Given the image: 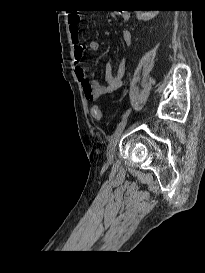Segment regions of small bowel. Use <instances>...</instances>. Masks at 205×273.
Returning a JSON list of instances; mask_svg holds the SVG:
<instances>
[{
  "label": "small bowel",
  "mask_w": 205,
  "mask_h": 273,
  "mask_svg": "<svg viewBox=\"0 0 205 273\" xmlns=\"http://www.w3.org/2000/svg\"><path fill=\"white\" fill-rule=\"evenodd\" d=\"M121 17L123 19H128L129 15L128 13L124 12L121 14ZM68 24L70 26V34L73 44V59L77 64L75 68V75L82 85L86 99L88 101H95L99 97L117 90L122 84V78L125 73V63L121 62L115 73H113L110 63L105 64V85H102L94 80L91 75L87 73L86 70L80 65V63L83 59L85 48L87 47L89 50L97 52L99 50V43L91 40L86 46L83 44L79 36L80 16L78 14H70L68 16ZM121 39L124 44L130 45L132 41L131 32L129 30H124L122 32Z\"/></svg>",
  "instance_id": "c3829d8e"
}]
</instances>
